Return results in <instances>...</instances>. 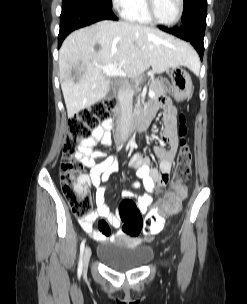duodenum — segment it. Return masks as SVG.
Wrapping results in <instances>:
<instances>
[{"mask_svg": "<svg viewBox=\"0 0 247 304\" xmlns=\"http://www.w3.org/2000/svg\"><path fill=\"white\" fill-rule=\"evenodd\" d=\"M121 114V107H117L115 110V115H114V119H113V134H114V141H116V144H119L118 140H122L123 139V135H120L119 132V126H120V120H119V116ZM154 111L147 108L143 113H141L139 116L135 115V116H131V119H134L132 121V123H129V126H127V129H149V126H142V123H149L152 118L154 117ZM119 138V139H118ZM123 143V142H120Z\"/></svg>", "mask_w": 247, "mask_h": 304, "instance_id": "obj_1", "label": "duodenum"}]
</instances>
